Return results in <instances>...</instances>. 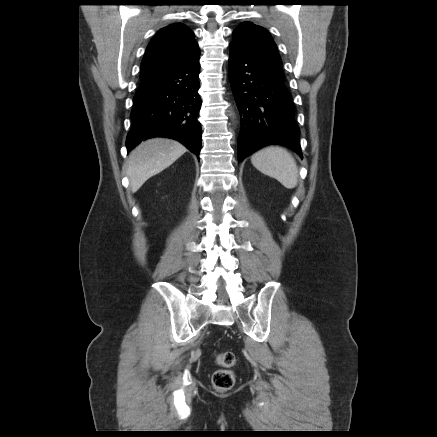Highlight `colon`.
I'll return each instance as SVG.
<instances>
[{"instance_id":"1","label":"colon","mask_w":437,"mask_h":437,"mask_svg":"<svg viewBox=\"0 0 437 437\" xmlns=\"http://www.w3.org/2000/svg\"><path fill=\"white\" fill-rule=\"evenodd\" d=\"M215 359L222 368L216 370L212 376L213 387L218 391L230 390L235 383L233 368L237 363V358L232 352H223L217 354Z\"/></svg>"}]
</instances>
